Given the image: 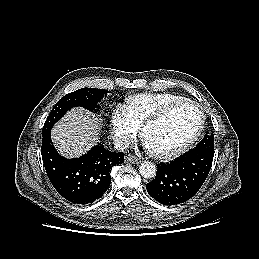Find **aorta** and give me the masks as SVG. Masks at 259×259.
Returning <instances> with one entry per match:
<instances>
[{
	"label": "aorta",
	"mask_w": 259,
	"mask_h": 259,
	"mask_svg": "<svg viewBox=\"0 0 259 259\" xmlns=\"http://www.w3.org/2000/svg\"><path fill=\"white\" fill-rule=\"evenodd\" d=\"M156 171H157L156 166L149 161H144L139 166V173L141 174L142 177L146 179L155 177Z\"/></svg>",
	"instance_id": "aorta-1"
}]
</instances>
